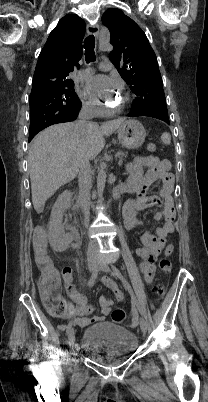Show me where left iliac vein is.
I'll use <instances>...</instances> for the list:
<instances>
[{"instance_id": "4c4485c4", "label": "left iliac vein", "mask_w": 208, "mask_h": 402, "mask_svg": "<svg viewBox=\"0 0 208 402\" xmlns=\"http://www.w3.org/2000/svg\"><path fill=\"white\" fill-rule=\"evenodd\" d=\"M98 268L103 272L112 273L110 267L102 259H100L98 262ZM112 275H114V274L112 273ZM139 324H140V328H141V331L143 332V334H146L147 333V322L143 316H140Z\"/></svg>"}]
</instances>
